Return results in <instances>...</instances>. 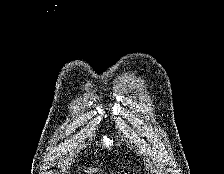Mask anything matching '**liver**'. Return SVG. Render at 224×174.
I'll list each match as a JSON object with an SVG mask.
<instances>
[{
  "mask_svg": "<svg viewBox=\"0 0 224 174\" xmlns=\"http://www.w3.org/2000/svg\"><path fill=\"white\" fill-rule=\"evenodd\" d=\"M98 171L97 168H88L87 170H85V172L87 174H92V173H96Z\"/></svg>",
  "mask_w": 224,
  "mask_h": 174,
  "instance_id": "liver-1",
  "label": "liver"
}]
</instances>
